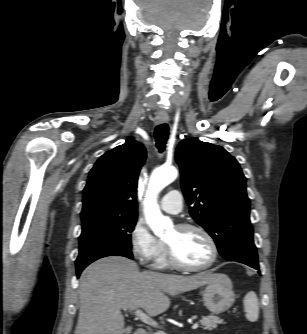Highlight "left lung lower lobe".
Returning <instances> with one entry per match:
<instances>
[{
  "mask_svg": "<svg viewBox=\"0 0 307 334\" xmlns=\"http://www.w3.org/2000/svg\"><path fill=\"white\" fill-rule=\"evenodd\" d=\"M235 250V255L227 257V260L240 262L252 268L259 269L257 250L254 244H241Z\"/></svg>",
  "mask_w": 307,
  "mask_h": 334,
  "instance_id": "1",
  "label": "left lung lower lobe"
}]
</instances>
